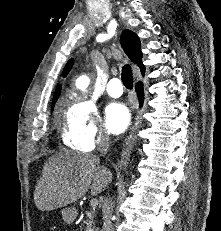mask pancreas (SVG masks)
Returning <instances> with one entry per match:
<instances>
[{"label":"pancreas","instance_id":"1","mask_svg":"<svg viewBox=\"0 0 221 231\" xmlns=\"http://www.w3.org/2000/svg\"><path fill=\"white\" fill-rule=\"evenodd\" d=\"M85 214L87 217V219L84 221L85 231H95L96 226H95V218L93 212L86 211Z\"/></svg>","mask_w":221,"mask_h":231}]
</instances>
